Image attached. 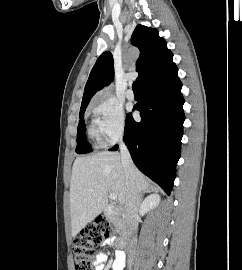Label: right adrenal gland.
Wrapping results in <instances>:
<instances>
[{"label": "right adrenal gland", "mask_w": 242, "mask_h": 270, "mask_svg": "<svg viewBox=\"0 0 242 270\" xmlns=\"http://www.w3.org/2000/svg\"><path fill=\"white\" fill-rule=\"evenodd\" d=\"M149 192H151V190H150V189H146L145 191H143V192L141 193V195H140V203H142L144 194H145V193H149Z\"/></svg>", "instance_id": "2a0ac1e0"}]
</instances>
